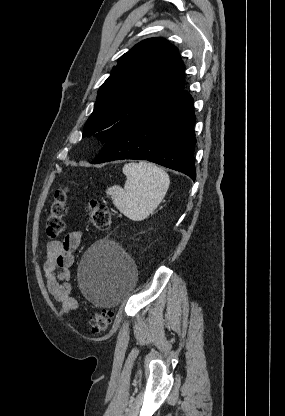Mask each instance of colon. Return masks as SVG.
I'll return each mask as SVG.
<instances>
[{
    "label": "colon",
    "mask_w": 285,
    "mask_h": 416,
    "mask_svg": "<svg viewBox=\"0 0 285 416\" xmlns=\"http://www.w3.org/2000/svg\"><path fill=\"white\" fill-rule=\"evenodd\" d=\"M68 194L66 189L55 191L50 213L46 221V234L49 238L59 237L64 229V216L67 211ZM90 223L99 231H106L111 225V214L107 206L100 204L96 200H91L87 207ZM113 313L109 310L101 309L91 316V326L95 334L105 332L111 325Z\"/></svg>",
    "instance_id": "5ec220e1"
}]
</instances>
